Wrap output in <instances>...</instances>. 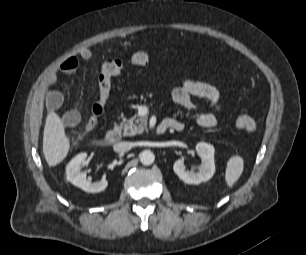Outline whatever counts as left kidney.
I'll return each instance as SVG.
<instances>
[{
  "instance_id": "left-kidney-1",
  "label": "left kidney",
  "mask_w": 306,
  "mask_h": 255,
  "mask_svg": "<svg viewBox=\"0 0 306 255\" xmlns=\"http://www.w3.org/2000/svg\"><path fill=\"white\" fill-rule=\"evenodd\" d=\"M196 151L201 158L199 172L187 170L184 159H178L173 165V170L177 176L187 184L198 185L212 178L215 172L214 147L208 143L200 142L196 145Z\"/></svg>"
}]
</instances>
